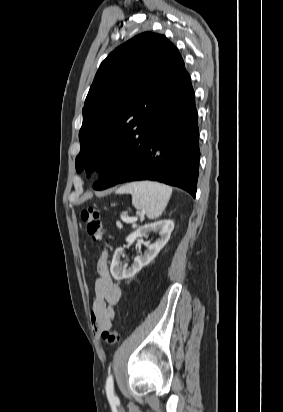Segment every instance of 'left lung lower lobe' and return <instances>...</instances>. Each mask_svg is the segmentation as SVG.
Instances as JSON below:
<instances>
[{
	"mask_svg": "<svg viewBox=\"0 0 283 412\" xmlns=\"http://www.w3.org/2000/svg\"><path fill=\"white\" fill-rule=\"evenodd\" d=\"M197 118L188 76L145 136L109 156L94 188L103 190L119 183L153 180L179 187L195 197L200 158Z\"/></svg>",
	"mask_w": 283,
	"mask_h": 412,
	"instance_id": "obj_1",
	"label": "left lung lower lobe"
}]
</instances>
